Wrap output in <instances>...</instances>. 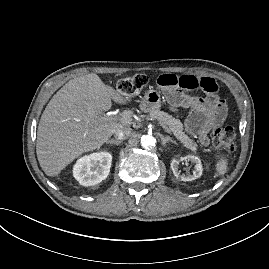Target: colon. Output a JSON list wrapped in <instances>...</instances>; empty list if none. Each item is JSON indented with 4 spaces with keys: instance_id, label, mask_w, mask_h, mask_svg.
I'll use <instances>...</instances> for the list:
<instances>
[{
    "instance_id": "5ec220e1",
    "label": "colon",
    "mask_w": 269,
    "mask_h": 269,
    "mask_svg": "<svg viewBox=\"0 0 269 269\" xmlns=\"http://www.w3.org/2000/svg\"><path fill=\"white\" fill-rule=\"evenodd\" d=\"M148 82L147 76L137 74L123 78L118 83V90L126 96L139 94ZM212 145L218 149L231 151L234 148L235 131L231 126L216 127L211 134Z\"/></svg>"
}]
</instances>
